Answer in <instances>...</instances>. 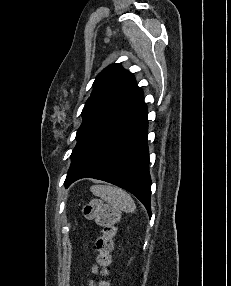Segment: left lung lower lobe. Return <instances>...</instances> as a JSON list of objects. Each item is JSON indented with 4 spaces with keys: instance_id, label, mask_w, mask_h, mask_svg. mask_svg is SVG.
I'll list each match as a JSON object with an SVG mask.
<instances>
[{
    "instance_id": "left-lung-lower-lobe-1",
    "label": "left lung lower lobe",
    "mask_w": 231,
    "mask_h": 286,
    "mask_svg": "<svg viewBox=\"0 0 231 286\" xmlns=\"http://www.w3.org/2000/svg\"><path fill=\"white\" fill-rule=\"evenodd\" d=\"M147 128L139 88L77 143L65 186L85 177L112 183L135 195L151 216Z\"/></svg>"
}]
</instances>
